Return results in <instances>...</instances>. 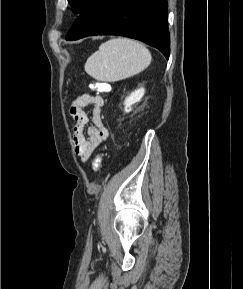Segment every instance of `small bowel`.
<instances>
[{
    "mask_svg": "<svg viewBox=\"0 0 243 289\" xmlns=\"http://www.w3.org/2000/svg\"><path fill=\"white\" fill-rule=\"evenodd\" d=\"M104 99L98 94L84 93L78 96L70 106V115L74 120L73 146L75 154L82 160L87 161L92 153L108 137V129L102 121V109ZM90 108V115L86 109ZM89 126L85 133V127Z\"/></svg>",
    "mask_w": 243,
    "mask_h": 289,
    "instance_id": "c3829d8e",
    "label": "small bowel"
}]
</instances>
